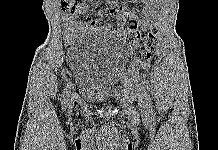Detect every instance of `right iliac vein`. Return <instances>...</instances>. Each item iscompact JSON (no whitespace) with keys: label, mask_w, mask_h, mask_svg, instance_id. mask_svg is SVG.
I'll return each mask as SVG.
<instances>
[{"label":"right iliac vein","mask_w":218,"mask_h":150,"mask_svg":"<svg viewBox=\"0 0 218 150\" xmlns=\"http://www.w3.org/2000/svg\"><path fill=\"white\" fill-rule=\"evenodd\" d=\"M72 106H73V98L71 99V101H70V103H69V109H70V110H71Z\"/></svg>","instance_id":"right-iliac-vein-1"}]
</instances>
